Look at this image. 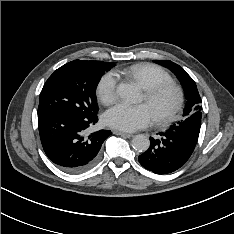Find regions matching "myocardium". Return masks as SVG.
<instances>
[{
	"mask_svg": "<svg viewBox=\"0 0 234 234\" xmlns=\"http://www.w3.org/2000/svg\"><path fill=\"white\" fill-rule=\"evenodd\" d=\"M165 92L173 93L174 102L170 109L164 114L153 117L154 122L159 125L170 123L177 117L184 103L183 91L177 84L173 82L159 83L145 89L144 91V98L146 102L154 101L157 97Z\"/></svg>",
	"mask_w": 234,
	"mask_h": 234,
	"instance_id": "obj_1",
	"label": "myocardium"
}]
</instances>
